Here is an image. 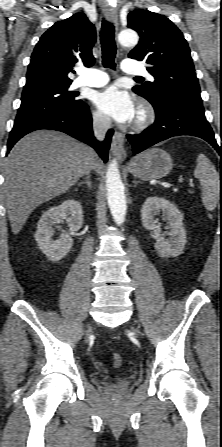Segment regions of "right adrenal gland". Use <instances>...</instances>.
<instances>
[{
    "label": "right adrenal gland",
    "instance_id": "2a0ac1e0",
    "mask_svg": "<svg viewBox=\"0 0 222 447\" xmlns=\"http://www.w3.org/2000/svg\"><path fill=\"white\" fill-rule=\"evenodd\" d=\"M82 184H86L88 186V188H90V189L92 188L89 175L86 176L85 181L78 183L79 186Z\"/></svg>",
    "mask_w": 222,
    "mask_h": 447
}]
</instances>
